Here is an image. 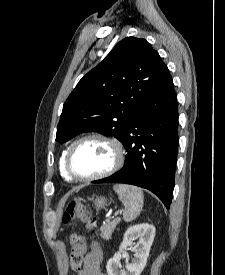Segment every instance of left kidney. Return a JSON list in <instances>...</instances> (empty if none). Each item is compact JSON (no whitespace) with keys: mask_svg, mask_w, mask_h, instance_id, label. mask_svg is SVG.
<instances>
[{"mask_svg":"<svg viewBox=\"0 0 225 275\" xmlns=\"http://www.w3.org/2000/svg\"><path fill=\"white\" fill-rule=\"evenodd\" d=\"M154 236L155 227L150 224H139L128 228L119 251L107 262L108 275H140L146 266ZM136 238H139V241L134 244ZM127 247L134 252V259L126 264V270H119L121 253Z\"/></svg>","mask_w":225,"mask_h":275,"instance_id":"obj_1","label":"left kidney"}]
</instances>
